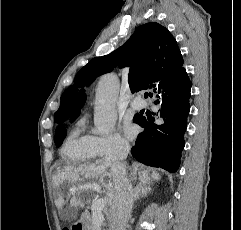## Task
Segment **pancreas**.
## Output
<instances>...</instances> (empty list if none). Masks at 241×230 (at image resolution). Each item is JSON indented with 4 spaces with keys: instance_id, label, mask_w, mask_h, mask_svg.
Here are the masks:
<instances>
[{
    "instance_id": "cf45deb5",
    "label": "pancreas",
    "mask_w": 241,
    "mask_h": 230,
    "mask_svg": "<svg viewBox=\"0 0 241 230\" xmlns=\"http://www.w3.org/2000/svg\"><path fill=\"white\" fill-rule=\"evenodd\" d=\"M89 222V226H90V230H102V226H104V217L102 218V220L99 223H95L93 216L88 220Z\"/></svg>"
}]
</instances>
